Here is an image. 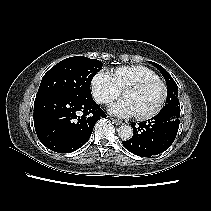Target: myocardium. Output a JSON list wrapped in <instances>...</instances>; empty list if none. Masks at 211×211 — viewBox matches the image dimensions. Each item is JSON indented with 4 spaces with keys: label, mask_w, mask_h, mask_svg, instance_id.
<instances>
[{
    "label": "myocardium",
    "mask_w": 211,
    "mask_h": 211,
    "mask_svg": "<svg viewBox=\"0 0 211 211\" xmlns=\"http://www.w3.org/2000/svg\"><path fill=\"white\" fill-rule=\"evenodd\" d=\"M159 84L162 88V97L161 100L159 102V104L157 105V107L152 110L151 112L147 113V114H135L136 118L138 120H149L152 119L153 117L157 116L163 109L166 101H167V97H168V89L167 86L165 84V82L163 80H161L160 78H148V79H144V80H140L138 82H135L129 86H127L124 91H123V95L125 94L126 91L128 90H142L152 84Z\"/></svg>",
    "instance_id": "1"
}]
</instances>
